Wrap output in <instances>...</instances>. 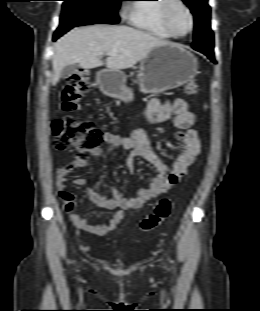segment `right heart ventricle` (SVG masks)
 Returning <instances> with one entry per match:
<instances>
[{
    "label": "right heart ventricle",
    "mask_w": 260,
    "mask_h": 311,
    "mask_svg": "<svg viewBox=\"0 0 260 311\" xmlns=\"http://www.w3.org/2000/svg\"><path fill=\"white\" fill-rule=\"evenodd\" d=\"M136 2H156V3H136L130 7L127 16L129 22L159 38H170L160 20V8L164 0H135Z\"/></svg>",
    "instance_id": "e07e8e85"
}]
</instances>
